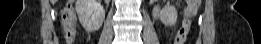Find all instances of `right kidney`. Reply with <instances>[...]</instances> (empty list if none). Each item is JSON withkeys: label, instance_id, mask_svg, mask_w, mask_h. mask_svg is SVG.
<instances>
[{"label": "right kidney", "instance_id": "1", "mask_svg": "<svg viewBox=\"0 0 261 44\" xmlns=\"http://www.w3.org/2000/svg\"><path fill=\"white\" fill-rule=\"evenodd\" d=\"M76 12L83 28L88 32L98 30L105 19V10L98 0H77Z\"/></svg>", "mask_w": 261, "mask_h": 44}]
</instances>
